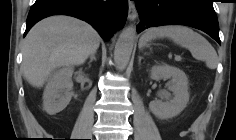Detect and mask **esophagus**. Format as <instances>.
I'll use <instances>...</instances> for the list:
<instances>
[{
    "label": "esophagus",
    "instance_id": "34e87169",
    "mask_svg": "<svg viewBox=\"0 0 236 140\" xmlns=\"http://www.w3.org/2000/svg\"><path fill=\"white\" fill-rule=\"evenodd\" d=\"M138 16L137 9L135 4L132 1H129L128 4V19L134 21Z\"/></svg>",
    "mask_w": 236,
    "mask_h": 140
}]
</instances>
